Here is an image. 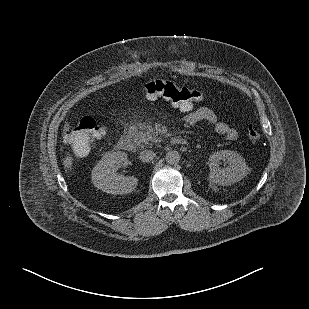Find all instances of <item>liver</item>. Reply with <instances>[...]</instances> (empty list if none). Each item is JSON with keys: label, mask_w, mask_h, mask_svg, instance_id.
<instances>
[{"label": "liver", "mask_w": 309, "mask_h": 309, "mask_svg": "<svg viewBox=\"0 0 309 309\" xmlns=\"http://www.w3.org/2000/svg\"><path fill=\"white\" fill-rule=\"evenodd\" d=\"M63 164H64L66 169H70L71 166H72V158L70 156H66L64 158Z\"/></svg>", "instance_id": "liver-1"}]
</instances>
